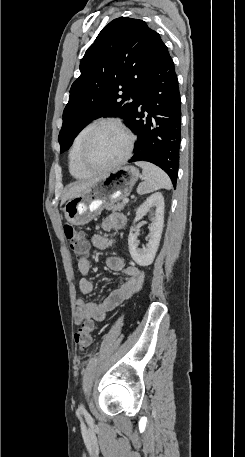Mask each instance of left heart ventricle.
<instances>
[{"label":"left heart ventricle","instance_id":"b2bd125f","mask_svg":"<svg viewBox=\"0 0 245 457\" xmlns=\"http://www.w3.org/2000/svg\"><path fill=\"white\" fill-rule=\"evenodd\" d=\"M127 139L112 128L99 131L85 152V163L92 169L110 165L125 150Z\"/></svg>","mask_w":245,"mask_h":457}]
</instances>
